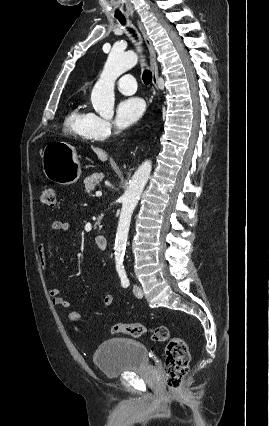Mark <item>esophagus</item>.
Here are the masks:
<instances>
[{"instance_id":"34e87169","label":"esophagus","mask_w":269,"mask_h":426,"mask_svg":"<svg viewBox=\"0 0 269 426\" xmlns=\"http://www.w3.org/2000/svg\"><path fill=\"white\" fill-rule=\"evenodd\" d=\"M139 29L143 35L145 44L148 48L149 51V58H150V68H151V72H152V85L154 89H158V64H157V59H156V51L155 48L153 46V43L151 41V39L149 38L145 28L143 27V25L141 24L140 21H137Z\"/></svg>"}]
</instances>
